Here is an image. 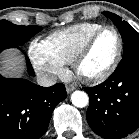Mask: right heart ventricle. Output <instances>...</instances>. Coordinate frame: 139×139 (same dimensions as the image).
<instances>
[{
  "mask_svg": "<svg viewBox=\"0 0 139 139\" xmlns=\"http://www.w3.org/2000/svg\"><path fill=\"white\" fill-rule=\"evenodd\" d=\"M102 26L95 22L75 24L51 33L44 43L55 57L64 64H69L87 38Z\"/></svg>",
  "mask_w": 139,
  "mask_h": 139,
  "instance_id": "obj_1",
  "label": "right heart ventricle"
}]
</instances>
